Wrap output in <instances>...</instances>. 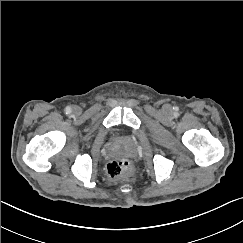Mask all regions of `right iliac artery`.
I'll return each mask as SVG.
<instances>
[{"mask_svg":"<svg viewBox=\"0 0 243 243\" xmlns=\"http://www.w3.org/2000/svg\"><path fill=\"white\" fill-rule=\"evenodd\" d=\"M71 111H72L71 107L67 106V107L65 108V113H66L67 115H69V114L71 113Z\"/></svg>","mask_w":243,"mask_h":243,"instance_id":"82829eb1","label":"right iliac artery"}]
</instances>
